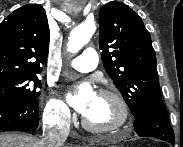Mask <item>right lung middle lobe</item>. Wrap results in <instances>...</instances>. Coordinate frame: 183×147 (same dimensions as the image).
<instances>
[{"label": "right lung middle lobe", "mask_w": 183, "mask_h": 147, "mask_svg": "<svg viewBox=\"0 0 183 147\" xmlns=\"http://www.w3.org/2000/svg\"><path fill=\"white\" fill-rule=\"evenodd\" d=\"M38 88H41V82L36 74L0 79V100L37 99L40 96V92L37 91Z\"/></svg>", "instance_id": "dd1d6c3e"}]
</instances>
